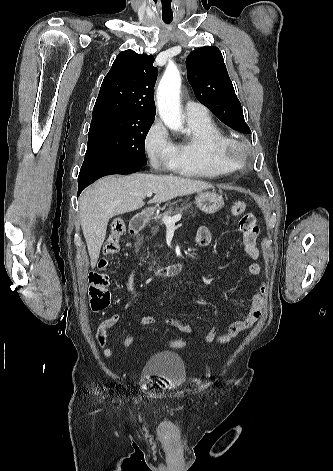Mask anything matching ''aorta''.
Segmentation results:
<instances>
[{
  "instance_id": "obj_1",
  "label": "aorta",
  "mask_w": 333,
  "mask_h": 471,
  "mask_svg": "<svg viewBox=\"0 0 333 471\" xmlns=\"http://www.w3.org/2000/svg\"><path fill=\"white\" fill-rule=\"evenodd\" d=\"M181 75L177 67L168 66L157 89V106L163 123L172 131L183 129L180 110Z\"/></svg>"
}]
</instances>
